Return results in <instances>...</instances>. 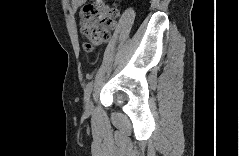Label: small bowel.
<instances>
[{"label":"small bowel","mask_w":239,"mask_h":156,"mask_svg":"<svg viewBox=\"0 0 239 156\" xmlns=\"http://www.w3.org/2000/svg\"><path fill=\"white\" fill-rule=\"evenodd\" d=\"M82 2H83L82 0H73L71 1L70 6L72 9L75 10L82 4Z\"/></svg>","instance_id":"obj_1"}]
</instances>
